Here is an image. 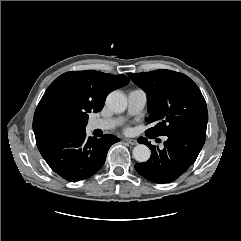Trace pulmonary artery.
Returning <instances> with one entry per match:
<instances>
[{
  "label": "pulmonary artery",
  "mask_w": 241,
  "mask_h": 241,
  "mask_svg": "<svg viewBox=\"0 0 241 241\" xmlns=\"http://www.w3.org/2000/svg\"><path fill=\"white\" fill-rule=\"evenodd\" d=\"M127 99L128 114L135 115L144 108L147 101V95L142 89H134L128 93ZM121 121L122 118H98L91 120L88 127L90 130H110L120 124Z\"/></svg>",
  "instance_id": "obj_1"
}]
</instances>
